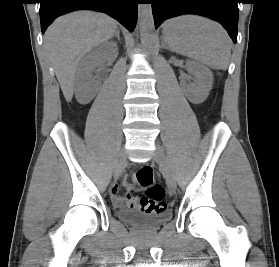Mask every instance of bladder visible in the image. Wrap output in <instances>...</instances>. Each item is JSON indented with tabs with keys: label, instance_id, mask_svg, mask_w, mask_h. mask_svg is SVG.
I'll return each mask as SVG.
<instances>
[{
	"label": "bladder",
	"instance_id": "31cf9c89",
	"mask_svg": "<svg viewBox=\"0 0 279 267\" xmlns=\"http://www.w3.org/2000/svg\"><path fill=\"white\" fill-rule=\"evenodd\" d=\"M119 217L125 223L136 228L153 230L164 224L170 219L169 213H161L154 216L140 213L136 210H122L119 212Z\"/></svg>",
	"mask_w": 279,
	"mask_h": 267
}]
</instances>
